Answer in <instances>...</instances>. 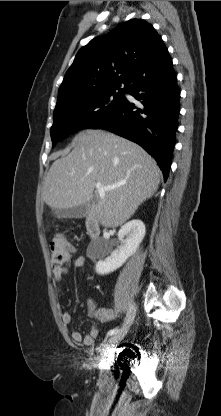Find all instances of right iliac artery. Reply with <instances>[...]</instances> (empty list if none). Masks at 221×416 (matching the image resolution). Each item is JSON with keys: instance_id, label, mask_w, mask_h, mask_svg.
<instances>
[{"instance_id": "82829eb1", "label": "right iliac artery", "mask_w": 221, "mask_h": 416, "mask_svg": "<svg viewBox=\"0 0 221 416\" xmlns=\"http://www.w3.org/2000/svg\"><path fill=\"white\" fill-rule=\"evenodd\" d=\"M118 331H120L118 328H114L108 331L107 335L112 336L113 334H116Z\"/></svg>"}]
</instances>
